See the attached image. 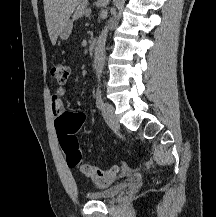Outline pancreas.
Instances as JSON below:
<instances>
[{
  "label": "pancreas",
  "mask_w": 216,
  "mask_h": 217,
  "mask_svg": "<svg viewBox=\"0 0 216 217\" xmlns=\"http://www.w3.org/2000/svg\"><path fill=\"white\" fill-rule=\"evenodd\" d=\"M88 2L87 0H83L80 5H78L74 15H73V20H76L80 17H82L86 13Z\"/></svg>",
  "instance_id": "1"
}]
</instances>
